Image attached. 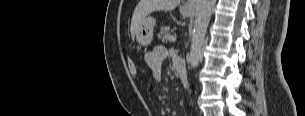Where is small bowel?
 <instances>
[{"label": "small bowel", "instance_id": "c3829d8e", "mask_svg": "<svg viewBox=\"0 0 305 116\" xmlns=\"http://www.w3.org/2000/svg\"><path fill=\"white\" fill-rule=\"evenodd\" d=\"M169 55V51L164 46H156L145 56L147 66L151 70L152 78L159 83L163 79V62ZM177 59V57H175ZM182 105V101L179 102Z\"/></svg>", "mask_w": 305, "mask_h": 116}]
</instances>
